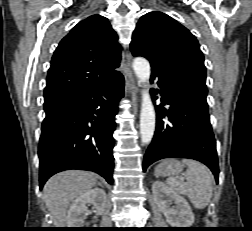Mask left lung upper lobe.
Here are the masks:
<instances>
[{"mask_svg": "<svg viewBox=\"0 0 252 231\" xmlns=\"http://www.w3.org/2000/svg\"><path fill=\"white\" fill-rule=\"evenodd\" d=\"M134 56L150 61L152 72H176L206 82L203 53L195 36L162 12H149L136 25L130 44Z\"/></svg>", "mask_w": 252, "mask_h": 231, "instance_id": "obj_1", "label": "left lung upper lobe"}]
</instances>
